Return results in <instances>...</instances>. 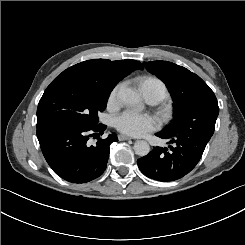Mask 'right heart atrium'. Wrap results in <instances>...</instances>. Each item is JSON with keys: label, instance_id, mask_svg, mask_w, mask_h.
Listing matches in <instances>:
<instances>
[{"label": "right heart atrium", "instance_id": "1", "mask_svg": "<svg viewBox=\"0 0 245 245\" xmlns=\"http://www.w3.org/2000/svg\"><path fill=\"white\" fill-rule=\"evenodd\" d=\"M118 89H119V85H117L116 87H114L112 89V91L110 92L109 98H108V104L112 105L116 99H117V94H118Z\"/></svg>", "mask_w": 245, "mask_h": 245}]
</instances>
